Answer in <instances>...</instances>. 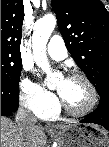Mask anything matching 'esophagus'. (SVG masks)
<instances>
[{
    "label": "esophagus",
    "mask_w": 109,
    "mask_h": 147,
    "mask_svg": "<svg viewBox=\"0 0 109 147\" xmlns=\"http://www.w3.org/2000/svg\"><path fill=\"white\" fill-rule=\"evenodd\" d=\"M47 128H51V126H50V125H48V126H47Z\"/></svg>",
    "instance_id": "1"
}]
</instances>
